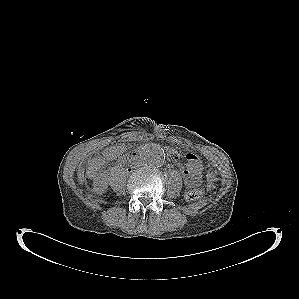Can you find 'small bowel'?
Listing matches in <instances>:
<instances>
[{
    "instance_id": "small-bowel-1",
    "label": "small bowel",
    "mask_w": 299,
    "mask_h": 299,
    "mask_svg": "<svg viewBox=\"0 0 299 299\" xmlns=\"http://www.w3.org/2000/svg\"><path fill=\"white\" fill-rule=\"evenodd\" d=\"M122 152L123 148L121 146H110L104 151V157L108 160H112L119 156ZM182 175L185 184L189 187L197 186L200 183V179L196 178L186 166L182 167Z\"/></svg>"
}]
</instances>
